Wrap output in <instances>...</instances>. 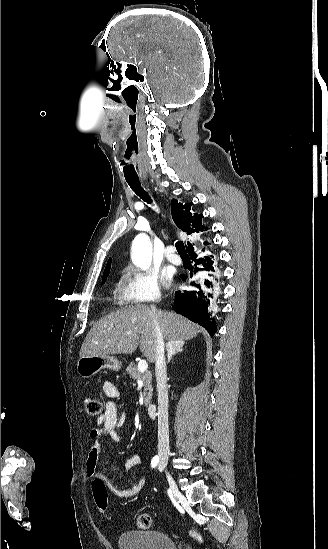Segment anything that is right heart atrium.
<instances>
[{
    "instance_id": "1",
    "label": "right heart atrium",
    "mask_w": 328,
    "mask_h": 549,
    "mask_svg": "<svg viewBox=\"0 0 328 549\" xmlns=\"http://www.w3.org/2000/svg\"><path fill=\"white\" fill-rule=\"evenodd\" d=\"M124 285L135 303H157L161 299L160 277L153 269L129 265L124 270Z\"/></svg>"
}]
</instances>
